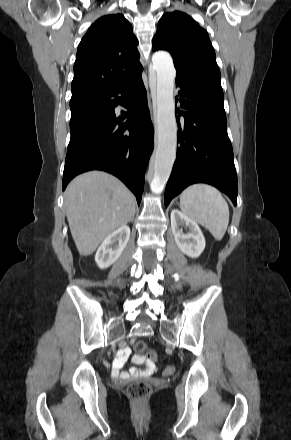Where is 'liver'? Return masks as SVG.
<instances>
[{
    "label": "liver",
    "mask_w": 291,
    "mask_h": 440,
    "mask_svg": "<svg viewBox=\"0 0 291 440\" xmlns=\"http://www.w3.org/2000/svg\"><path fill=\"white\" fill-rule=\"evenodd\" d=\"M64 205L70 231L80 255H91L111 233L135 214V197L116 177L90 171L67 186Z\"/></svg>",
    "instance_id": "obj_1"
}]
</instances>
